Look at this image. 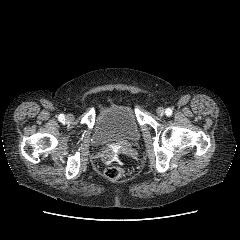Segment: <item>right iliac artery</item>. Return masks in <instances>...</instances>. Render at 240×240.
<instances>
[{"instance_id":"1","label":"right iliac artery","mask_w":240,"mask_h":240,"mask_svg":"<svg viewBox=\"0 0 240 240\" xmlns=\"http://www.w3.org/2000/svg\"><path fill=\"white\" fill-rule=\"evenodd\" d=\"M58 119H59L60 122H63V121L65 120L64 114H60V115L58 116Z\"/></svg>"}]
</instances>
